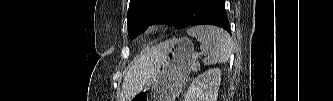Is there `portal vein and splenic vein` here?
<instances>
[{
	"instance_id": "portal-vein-and-splenic-vein-1",
	"label": "portal vein and splenic vein",
	"mask_w": 333,
	"mask_h": 101,
	"mask_svg": "<svg viewBox=\"0 0 333 101\" xmlns=\"http://www.w3.org/2000/svg\"><path fill=\"white\" fill-rule=\"evenodd\" d=\"M197 57H198V55L195 56V58H197ZM191 69H192V71H197V67H196L195 61L193 62L192 66H191Z\"/></svg>"
}]
</instances>
